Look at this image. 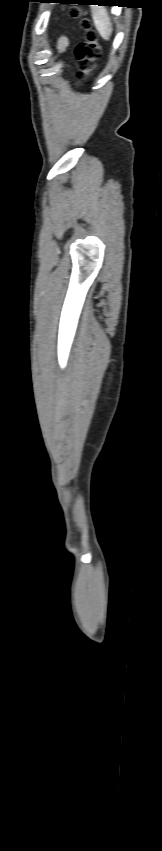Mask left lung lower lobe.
<instances>
[{"label":"left lung lower lobe","mask_w":162,"mask_h":851,"mask_svg":"<svg viewBox=\"0 0 162 851\" xmlns=\"http://www.w3.org/2000/svg\"><path fill=\"white\" fill-rule=\"evenodd\" d=\"M108 1H110V0H61V1H59L58 3H61V4H79V5H87V4L95 3V2H98V3H107ZM50 2H51V1H50ZM99 6H100V4H99Z\"/></svg>","instance_id":"0a47b994"}]
</instances>
